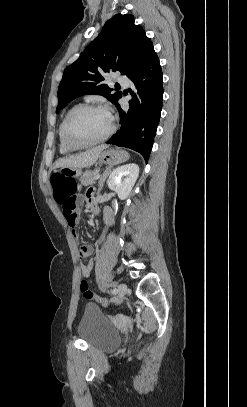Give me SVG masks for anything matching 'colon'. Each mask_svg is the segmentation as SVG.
Returning a JSON list of instances; mask_svg holds the SVG:
<instances>
[{
  "label": "colon",
  "mask_w": 247,
  "mask_h": 407,
  "mask_svg": "<svg viewBox=\"0 0 247 407\" xmlns=\"http://www.w3.org/2000/svg\"><path fill=\"white\" fill-rule=\"evenodd\" d=\"M51 185L53 189L54 199L58 203H64L76 194L77 184L74 180L66 178L62 174H54L51 177ZM80 291L83 297L88 301H94L102 306L111 307L115 303L111 300L96 296L90 289L89 283L83 279L80 284Z\"/></svg>",
  "instance_id": "5ec220e1"
}]
</instances>
